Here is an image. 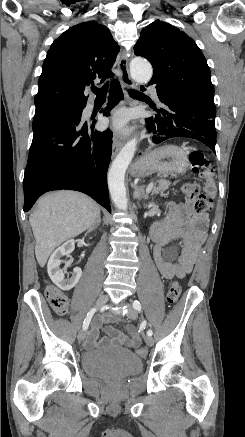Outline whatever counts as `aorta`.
Listing matches in <instances>:
<instances>
[{"instance_id":"obj_1","label":"aorta","mask_w":245,"mask_h":437,"mask_svg":"<svg viewBox=\"0 0 245 437\" xmlns=\"http://www.w3.org/2000/svg\"><path fill=\"white\" fill-rule=\"evenodd\" d=\"M130 74L136 82L148 83L152 77L153 69L146 59L136 57L130 62ZM136 147V138L127 142L114 159L108 173V186L111 199L115 207L123 211L128 208L124 185L125 172L134 157Z\"/></svg>"}]
</instances>
